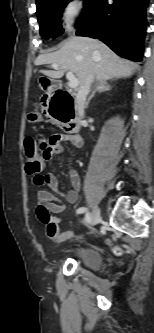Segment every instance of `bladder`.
I'll use <instances>...</instances> for the list:
<instances>
[{"label":"bladder","mask_w":154,"mask_h":333,"mask_svg":"<svg viewBox=\"0 0 154 333\" xmlns=\"http://www.w3.org/2000/svg\"><path fill=\"white\" fill-rule=\"evenodd\" d=\"M75 254L78 261L90 269H96L102 263L101 252L96 247H81Z\"/></svg>","instance_id":"obj_1"}]
</instances>
